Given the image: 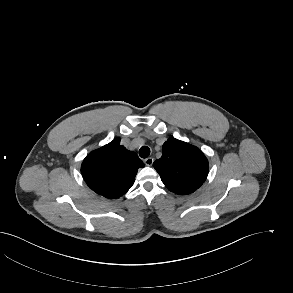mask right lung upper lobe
I'll use <instances>...</instances> for the list:
<instances>
[{
    "mask_svg": "<svg viewBox=\"0 0 293 293\" xmlns=\"http://www.w3.org/2000/svg\"><path fill=\"white\" fill-rule=\"evenodd\" d=\"M144 164L136 153L120 145L116 138L92 151L83 161L81 173L87 185L96 193L115 199L124 195L134 184L138 168Z\"/></svg>",
    "mask_w": 293,
    "mask_h": 293,
    "instance_id": "1",
    "label": "right lung upper lobe"
}]
</instances>
